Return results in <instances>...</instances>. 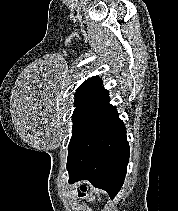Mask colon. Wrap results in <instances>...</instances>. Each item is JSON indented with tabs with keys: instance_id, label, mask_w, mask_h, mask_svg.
I'll return each mask as SVG.
<instances>
[{
	"instance_id": "5ec220e1",
	"label": "colon",
	"mask_w": 178,
	"mask_h": 211,
	"mask_svg": "<svg viewBox=\"0 0 178 211\" xmlns=\"http://www.w3.org/2000/svg\"><path fill=\"white\" fill-rule=\"evenodd\" d=\"M78 197L81 200L86 199L88 197V186L87 185L80 186Z\"/></svg>"
}]
</instances>
